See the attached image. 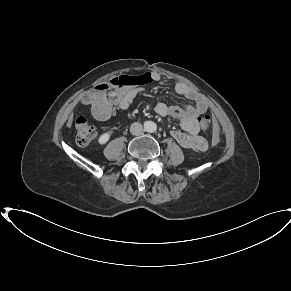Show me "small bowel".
<instances>
[{
    "mask_svg": "<svg viewBox=\"0 0 291 291\" xmlns=\"http://www.w3.org/2000/svg\"><path fill=\"white\" fill-rule=\"evenodd\" d=\"M161 75L157 72L146 73L140 77L142 82L159 81ZM175 92L192 101L193 105L170 106L158 102L155 112L163 117L171 116L179 120L183 131H171L172 137L184 148L204 152L208 148L207 141L199 134L197 117L208 109L207 102L191 87L183 82H177ZM144 91L142 87L119 88L97 98L93 92L83 98V103L91 106V112L96 120H105L110 117L112 108L125 110L130 107L135 98Z\"/></svg>",
    "mask_w": 291,
    "mask_h": 291,
    "instance_id": "small-bowel-1",
    "label": "small bowel"
}]
</instances>
